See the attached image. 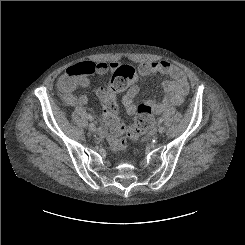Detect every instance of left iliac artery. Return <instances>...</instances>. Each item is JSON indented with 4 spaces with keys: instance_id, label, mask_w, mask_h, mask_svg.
I'll return each mask as SVG.
<instances>
[{
    "instance_id": "44dca946",
    "label": "left iliac artery",
    "mask_w": 245,
    "mask_h": 245,
    "mask_svg": "<svg viewBox=\"0 0 245 245\" xmlns=\"http://www.w3.org/2000/svg\"><path fill=\"white\" fill-rule=\"evenodd\" d=\"M159 123H162L163 122V117H160L159 120H158Z\"/></svg>"
}]
</instances>
